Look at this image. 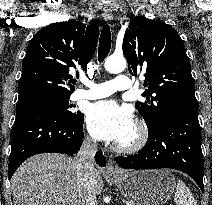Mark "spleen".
I'll list each match as a JSON object with an SVG mask.
<instances>
[{"instance_id":"1","label":"spleen","mask_w":212,"mask_h":205,"mask_svg":"<svg viewBox=\"0 0 212 205\" xmlns=\"http://www.w3.org/2000/svg\"><path fill=\"white\" fill-rule=\"evenodd\" d=\"M174 201L177 205H196L194 196L182 180L177 182Z\"/></svg>"}]
</instances>
